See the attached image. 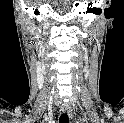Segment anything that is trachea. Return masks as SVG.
<instances>
[{"mask_svg":"<svg viewBox=\"0 0 124 123\" xmlns=\"http://www.w3.org/2000/svg\"><path fill=\"white\" fill-rule=\"evenodd\" d=\"M59 123H69V117L67 113H63L59 118Z\"/></svg>","mask_w":124,"mask_h":123,"instance_id":"1","label":"trachea"}]
</instances>
